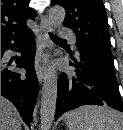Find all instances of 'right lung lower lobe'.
Instances as JSON below:
<instances>
[{
    "instance_id": "1",
    "label": "right lung lower lobe",
    "mask_w": 123,
    "mask_h": 130,
    "mask_svg": "<svg viewBox=\"0 0 123 130\" xmlns=\"http://www.w3.org/2000/svg\"><path fill=\"white\" fill-rule=\"evenodd\" d=\"M8 49L21 53L15 62L17 67L26 69L25 76L8 68L12 63V60L7 61L5 58ZM34 59L35 36L31 30L20 36L1 40V95L14 104L28 126L39 90Z\"/></svg>"
}]
</instances>
